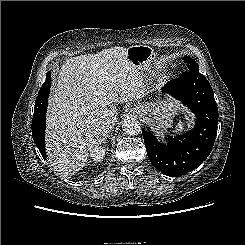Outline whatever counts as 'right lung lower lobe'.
I'll use <instances>...</instances> for the list:
<instances>
[{
    "label": "right lung lower lobe",
    "mask_w": 245,
    "mask_h": 245,
    "mask_svg": "<svg viewBox=\"0 0 245 245\" xmlns=\"http://www.w3.org/2000/svg\"><path fill=\"white\" fill-rule=\"evenodd\" d=\"M45 114L46 111L41 113L34 112L32 119V136L37 145L41 155L46 159L45 153Z\"/></svg>",
    "instance_id": "1"
}]
</instances>
